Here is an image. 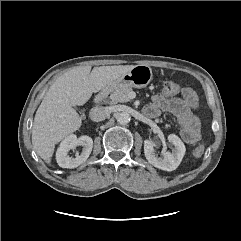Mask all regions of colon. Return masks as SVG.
<instances>
[{
  "mask_svg": "<svg viewBox=\"0 0 241 241\" xmlns=\"http://www.w3.org/2000/svg\"><path fill=\"white\" fill-rule=\"evenodd\" d=\"M179 92V86L174 82H165L161 93L166 97H172ZM205 153V147L203 145H199L194 149V156L201 157Z\"/></svg>",
  "mask_w": 241,
  "mask_h": 241,
  "instance_id": "obj_1",
  "label": "colon"
}]
</instances>
